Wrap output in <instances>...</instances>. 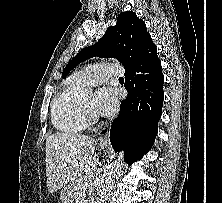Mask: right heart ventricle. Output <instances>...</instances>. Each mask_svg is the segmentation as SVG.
Listing matches in <instances>:
<instances>
[{"instance_id":"e07e8e85","label":"right heart ventricle","mask_w":222,"mask_h":203,"mask_svg":"<svg viewBox=\"0 0 222 203\" xmlns=\"http://www.w3.org/2000/svg\"><path fill=\"white\" fill-rule=\"evenodd\" d=\"M84 86L69 78L51 106V117L55 128L64 134H79L87 127L82 111L81 91Z\"/></svg>"}]
</instances>
